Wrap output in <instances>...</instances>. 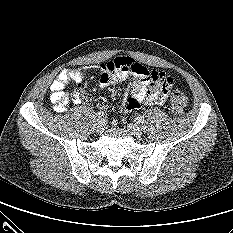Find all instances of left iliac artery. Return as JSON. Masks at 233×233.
I'll list each match as a JSON object with an SVG mask.
<instances>
[{
	"label": "left iliac artery",
	"instance_id": "44dca946",
	"mask_svg": "<svg viewBox=\"0 0 233 233\" xmlns=\"http://www.w3.org/2000/svg\"><path fill=\"white\" fill-rule=\"evenodd\" d=\"M135 120L136 122L141 123L143 121V118L141 116H138Z\"/></svg>",
	"mask_w": 233,
	"mask_h": 233
}]
</instances>
